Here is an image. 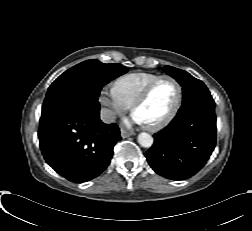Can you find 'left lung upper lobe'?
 Segmentation results:
<instances>
[{"label":"left lung upper lobe","instance_id":"5c2ea615","mask_svg":"<svg viewBox=\"0 0 252 231\" xmlns=\"http://www.w3.org/2000/svg\"><path fill=\"white\" fill-rule=\"evenodd\" d=\"M164 71L175 78L183 87V103L194 99L212 98L205 84L186 71L172 66H165Z\"/></svg>","mask_w":252,"mask_h":231}]
</instances>
